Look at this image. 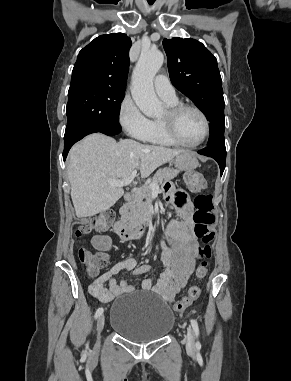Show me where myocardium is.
I'll return each mask as SVG.
<instances>
[{"instance_id": "1", "label": "myocardium", "mask_w": 291, "mask_h": 381, "mask_svg": "<svg viewBox=\"0 0 291 381\" xmlns=\"http://www.w3.org/2000/svg\"><path fill=\"white\" fill-rule=\"evenodd\" d=\"M186 110H193L197 112L204 122V133L201 137V139L195 143H187L183 141L176 130V121L181 113H183ZM160 125L162 127L163 132L165 135L176 145L187 147V148H195L200 146L204 141L207 139L210 133V122L205 114V112L200 109L199 107L192 105V104H184V103H178L173 106H169L166 110V113L163 117L159 119Z\"/></svg>"}]
</instances>
